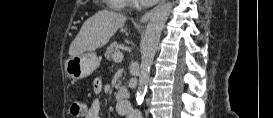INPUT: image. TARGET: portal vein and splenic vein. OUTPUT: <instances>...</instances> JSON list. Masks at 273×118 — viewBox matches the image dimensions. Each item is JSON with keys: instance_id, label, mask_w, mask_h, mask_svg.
<instances>
[{"instance_id": "obj_1", "label": "portal vein and splenic vein", "mask_w": 273, "mask_h": 118, "mask_svg": "<svg viewBox=\"0 0 273 118\" xmlns=\"http://www.w3.org/2000/svg\"><path fill=\"white\" fill-rule=\"evenodd\" d=\"M114 62H121L123 60V54L121 52H117L113 55Z\"/></svg>"}]
</instances>
